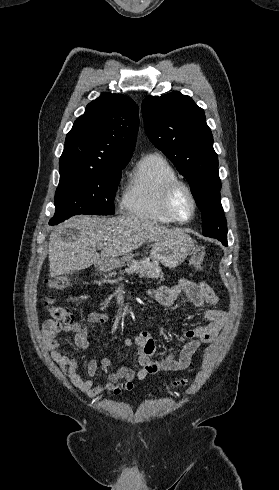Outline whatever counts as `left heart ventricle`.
Wrapping results in <instances>:
<instances>
[{"label": "left heart ventricle", "instance_id": "b2bd125f", "mask_svg": "<svg viewBox=\"0 0 279 490\" xmlns=\"http://www.w3.org/2000/svg\"><path fill=\"white\" fill-rule=\"evenodd\" d=\"M176 209L178 216L181 219H187L192 211L191 201L186 193V191H181L176 201Z\"/></svg>", "mask_w": 279, "mask_h": 490}]
</instances>
